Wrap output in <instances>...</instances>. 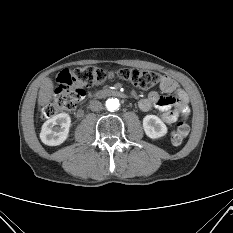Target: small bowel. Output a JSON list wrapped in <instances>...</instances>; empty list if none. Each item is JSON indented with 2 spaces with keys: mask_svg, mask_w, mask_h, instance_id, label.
Listing matches in <instances>:
<instances>
[{
  "mask_svg": "<svg viewBox=\"0 0 233 233\" xmlns=\"http://www.w3.org/2000/svg\"><path fill=\"white\" fill-rule=\"evenodd\" d=\"M159 87L163 92L172 95L165 97L153 91L139 102L140 110L144 112L155 110L161 120L168 124L175 123L180 118L186 120L190 113L187 93L176 81L167 76L161 78Z\"/></svg>",
  "mask_w": 233,
  "mask_h": 233,
  "instance_id": "c3829d8e",
  "label": "small bowel"
}]
</instances>
